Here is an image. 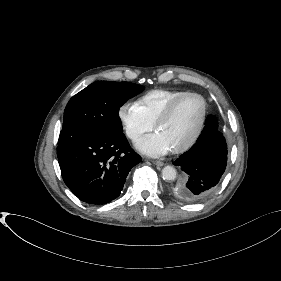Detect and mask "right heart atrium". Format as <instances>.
<instances>
[{
	"instance_id": "d8ad5b80",
	"label": "right heart atrium",
	"mask_w": 281,
	"mask_h": 281,
	"mask_svg": "<svg viewBox=\"0 0 281 281\" xmlns=\"http://www.w3.org/2000/svg\"><path fill=\"white\" fill-rule=\"evenodd\" d=\"M118 117L127 137L132 141H137L153 128L140 106L133 101H127L119 107Z\"/></svg>"
}]
</instances>
